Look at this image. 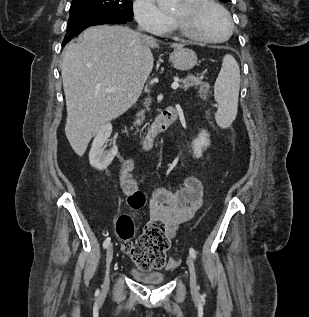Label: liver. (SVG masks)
Here are the masks:
<instances>
[{
    "label": "liver",
    "mask_w": 309,
    "mask_h": 317,
    "mask_svg": "<svg viewBox=\"0 0 309 317\" xmlns=\"http://www.w3.org/2000/svg\"><path fill=\"white\" fill-rule=\"evenodd\" d=\"M157 41L124 26L86 29L65 47L61 76L67 106L65 133L82 156L98 130L126 112L138 99L154 58ZM173 48L183 44L174 43ZM114 91L107 92L109 87Z\"/></svg>",
    "instance_id": "6515ba94"
}]
</instances>
